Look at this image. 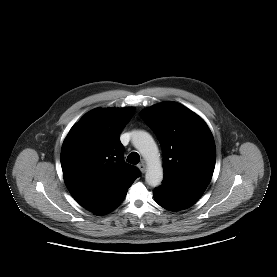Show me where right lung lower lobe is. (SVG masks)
<instances>
[{
  "instance_id": "right-lung-lower-lobe-1",
  "label": "right lung lower lobe",
  "mask_w": 277,
  "mask_h": 277,
  "mask_svg": "<svg viewBox=\"0 0 277 277\" xmlns=\"http://www.w3.org/2000/svg\"><path fill=\"white\" fill-rule=\"evenodd\" d=\"M128 188L125 189L110 205H108L106 208L102 209L101 211H99L95 214L104 215V214H107L110 211L114 210L116 207H118L124 200V197L126 196Z\"/></svg>"
}]
</instances>
